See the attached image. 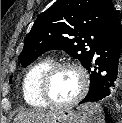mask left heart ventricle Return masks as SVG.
I'll list each match as a JSON object with an SVG mask.
<instances>
[{
    "instance_id": "1",
    "label": "left heart ventricle",
    "mask_w": 122,
    "mask_h": 123,
    "mask_svg": "<svg viewBox=\"0 0 122 123\" xmlns=\"http://www.w3.org/2000/svg\"><path fill=\"white\" fill-rule=\"evenodd\" d=\"M81 87V78L77 71L71 68L59 70L53 77L49 93L56 102H67L73 99Z\"/></svg>"
}]
</instances>
